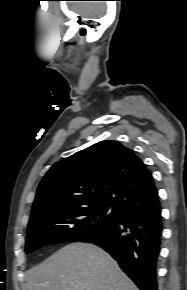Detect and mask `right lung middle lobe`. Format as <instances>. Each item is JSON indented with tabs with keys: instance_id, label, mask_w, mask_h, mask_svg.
Instances as JSON below:
<instances>
[{
	"instance_id": "right-lung-middle-lobe-1",
	"label": "right lung middle lobe",
	"mask_w": 187,
	"mask_h": 290,
	"mask_svg": "<svg viewBox=\"0 0 187 290\" xmlns=\"http://www.w3.org/2000/svg\"><path fill=\"white\" fill-rule=\"evenodd\" d=\"M109 208L108 205H91L55 212L36 220L28 225L26 253L62 241L85 239L114 225L122 214L113 208L107 214Z\"/></svg>"
}]
</instances>
